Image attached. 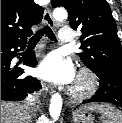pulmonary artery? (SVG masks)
Masks as SVG:
<instances>
[{
	"label": "pulmonary artery",
	"instance_id": "1",
	"mask_svg": "<svg viewBox=\"0 0 122 123\" xmlns=\"http://www.w3.org/2000/svg\"><path fill=\"white\" fill-rule=\"evenodd\" d=\"M58 37L61 43H69L73 40V31L69 27H63L59 30Z\"/></svg>",
	"mask_w": 122,
	"mask_h": 123
}]
</instances>
